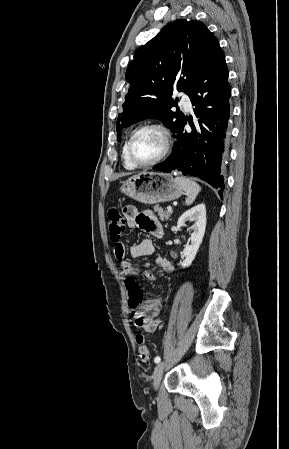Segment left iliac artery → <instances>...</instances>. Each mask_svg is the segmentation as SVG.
I'll list each match as a JSON object with an SVG mask.
<instances>
[{
  "label": "left iliac artery",
  "mask_w": 289,
  "mask_h": 449,
  "mask_svg": "<svg viewBox=\"0 0 289 449\" xmlns=\"http://www.w3.org/2000/svg\"><path fill=\"white\" fill-rule=\"evenodd\" d=\"M161 361V358L159 356L155 357L154 362L159 363Z\"/></svg>",
  "instance_id": "44dca946"
}]
</instances>
